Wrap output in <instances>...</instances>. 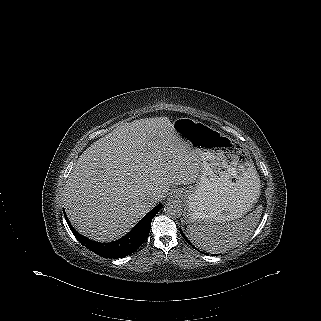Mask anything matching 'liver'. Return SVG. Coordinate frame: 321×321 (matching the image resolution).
Masks as SVG:
<instances>
[{"label": "liver", "mask_w": 321, "mask_h": 321, "mask_svg": "<svg viewBox=\"0 0 321 321\" xmlns=\"http://www.w3.org/2000/svg\"><path fill=\"white\" fill-rule=\"evenodd\" d=\"M173 148V149H171ZM200 159L166 117L120 123L78 158L64 206L79 233L100 242L119 239L170 186L194 183Z\"/></svg>", "instance_id": "1"}]
</instances>
